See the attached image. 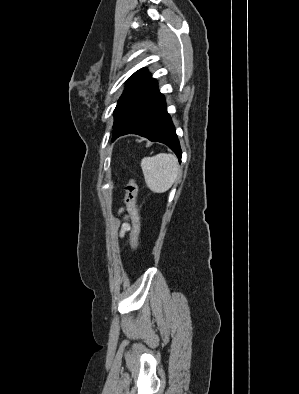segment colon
Here are the masks:
<instances>
[{
	"mask_svg": "<svg viewBox=\"0 0 299 394\" xmlns=\"http://www.w3.org/2000/svg\"><path fill=\"white\" fill-rule=\"evenodd\" d=\"M137 192L138 185L136 181L134 179H128L125 184V206L133 224L131 240L134 252H137L139 249V237L141 232V221L136 206Z\"/></svg>",
	"mask_w": 299,
	"mask_h": 394,
	"instance_id": "colon-1",
	"label": "colon"
}]
</instances>
